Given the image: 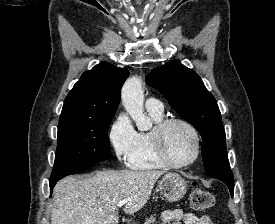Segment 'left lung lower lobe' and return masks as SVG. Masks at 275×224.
Listing matches in <instances>:
<instances>
[{"label":"left lung lower lobe","mask_w":275,"mask_h":224,"mask_svg":"<svg viewBox=\"0 0 275 224\" xmlns=\"http://www.w3.org/2000/svg\"><path fill=\"white\" fill-rule=\"evenodd\" d=\"M219 180L223 181L228 186V188L230 190V193L233 196V192H234L233 180H228V179H225V178H221Z\"/></svg>","instance_id":"obj_1"}]
</instances>
